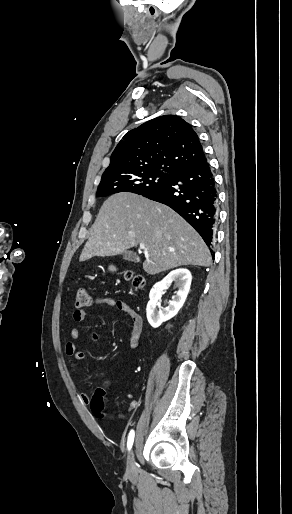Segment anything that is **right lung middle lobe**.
I'll return each instance as SVG.
<instances>
[{
  "mask_svg": "<svg viewBox=\"0 0 292 514\" xmlns=\"http://www.w3.org/2000/svg\"><path fill=\"white\" fill-rule=\"evenodd\" d=\"M170 177L171 174L165 172H145L102 179L96 196L105 197L119 192H132L143 195L161 186Z\"/></svg>",
  "mask_w": 292,
  "mask_h": 514,
  "instance_id": "obj_1",
  "label": "right lung middle lobe"
}]
</instances>
